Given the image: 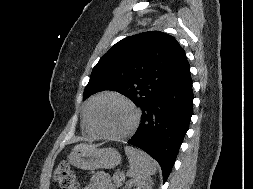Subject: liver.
<instances>
[{"label": "liver", "mask_w": 253, "mask_h": 189, "mask_svg": "<svg viewBox=\"0 0 253 189\" xmlns=\"http://www.w3.org/2000/svg\"><path fill=\"white\" fill-rule=\"evenodd\" d=\"M96 147L95 145H92V144H84V143H80L78 145H76L74 148H73V151H79V150H84V149H87V148H94Z\"/></svg>", "instance_id": "obj_1"}]
</instances>
